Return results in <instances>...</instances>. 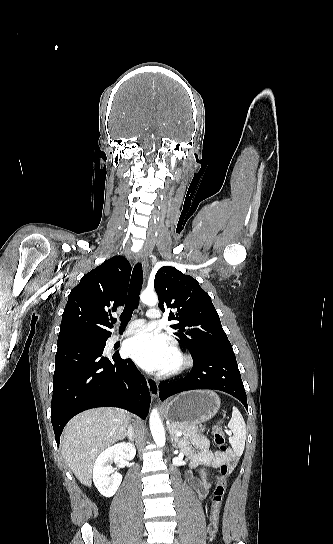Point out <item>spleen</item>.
<instances>
[{
  "mask_svg": "<svg viewBox=\"0 0 333 544\" xmlns=\"http://www.w3.org/2000/svg\"><path fill=\"white\" fill-rule=\"evenodd\" d=\"M228 428L233 436L229 437V442L236 455H241L245 447L246 424L238 408L233 407L232 417L228 423Z\"/></svg>",
  "mask_w": 333,
  "mask_h": 544,
  "instance_id": "obj_1",
  "label": "spleen"
}]
</instances>
